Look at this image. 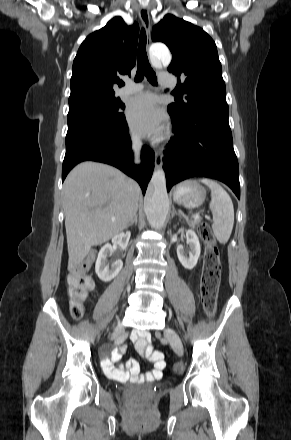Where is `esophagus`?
Instances as JSON below:
<instances>
[{
  "label": "esophagus",
  "instance_id": "34e87169",
  "mask_svg": "<svg viewBox=\"0 0 291 440\" xmlns=\"http://www.w3.org/2000/svg\"><path fill=\"white\" fill-rule=\"evenodd\" d=\"M139 16L143 27L145 28L147 39H150V14L149 9L146 6L140 8ZM162 165V154L160 152L155 153V167L159 168Z\"/></svg>",
  "mask_w": 291,
  "mask_h": 440
}]
</instances>
